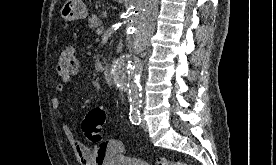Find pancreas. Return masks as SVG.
Masks as SVG:
<instances>
[{"label": "pancreas", "instance_id": "pancreas-1", "mask_svg": "<svg viewBox=\"0 0 276 165\" xmlns=\"http://www.w3.org/2000/svg\"><path fill=\"white\" fill-rule=\"evenodd\" d=\"M88 22L89 28L92 30H95L103 25V22L96 15H92V17L89 18Z\"/></svg>", "mask_w": 276, "mask_h": 165}]
</instances>
